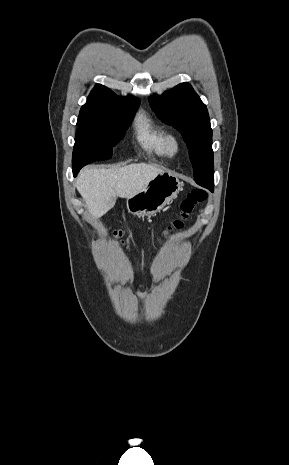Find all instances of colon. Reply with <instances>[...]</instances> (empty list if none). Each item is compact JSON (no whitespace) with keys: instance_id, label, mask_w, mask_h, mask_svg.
<instances>
[{"instance_id":"5ec220e1","label":"colon","mask_w":289,"mask_h":465,"mask_svg":"<svg viewBox=\"0 0 289 465\" xmlns=\"http://www.w3.org/2000/svg\"><path fill=\"white\" fill-rule=\"evenodd\" d=\"M208 192L205 189L197 188L187 194L180 204V216L173 221L169 227V231L181 229L186 220L193 214L196 207L206 200ZM125 232L123 230H115L113 236L119 241L124 243L123 237Z\"/></svg>"}]
</instances>
